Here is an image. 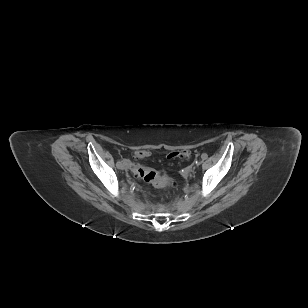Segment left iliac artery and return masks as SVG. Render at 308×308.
Wrapping results in <instances>:
<instances>
[{"label": "left iliac artery", "instance_id": "obj_1", "mask_svg": "<svg viewBox=\"0 0 308 308\" xmlns=\"http://www.w3.org/2000/svg\"><path fill=\"white\" fill-rule=\"evenodd\" d=\"M202 159L204 160V159H206L207 158V155L206 154H202Z\"/></svg>", "mask_w": 308, "mask_h": 308}]
</instances>
